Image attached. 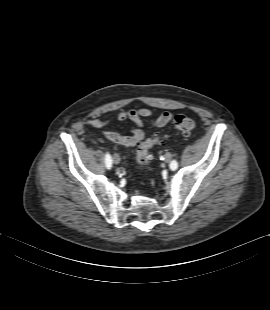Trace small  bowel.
Returning a JSON list of instances; mask_svg holds the SVG:
<instances>
[{"label": "small bowel", "mask_w": 270, "mask_h": 310, "mask_svg": "<svg viewBox=\"0 0 270 310\" xmlns=\"http://www.w3.org/2000/svg\"><path fill=\"white\" fill-rule=\"evenodd\" d=\"M153 115V111L146 107L140 108H131L128 110L119 111L116 114V118L121 123L130 122L134 125L132 129V134L129 136L121 135L115 132H104L103 136L108 141H111L115 144L125 146V147H133L141 142L145 138V127H154L161 128L166 126L171 122L173 115L169 111L162 112L155 118L146 120ZM107 120L102 118H92L88 121V124L100 128L106 124Z\"/></svg>", "instance_id": "small-bowel-1"}]
</instances>
